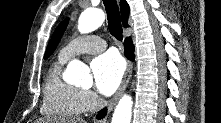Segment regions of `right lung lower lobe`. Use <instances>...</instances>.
Returning a JSON list of instances; mask_svg holds the SVG:
<instances>
[{
	"mask_svg": "<svg viewBox=\"0 0 221 123\" xmlns=\"http://www.w3.org/2000/svg\"><path fill=\"white\" fill-rule=\"evenodd\" d=\"M124 50H125V56H126L128 59L133 60V59H134V45H133L132 39H131L130 37H128V38L125 39V42H124ZM105 115H106V108H104L103 110H101V111L98 113L97 118H98V119H101V118H103Z\"/></svg>",
	"mask_w": 221,
	"mask_h": 123,
	"instance_id": "right-lung-lower-lobe-1",
	"label": "right lung lower lobe"
}]
</instances>
